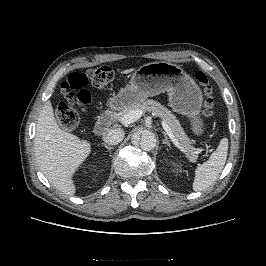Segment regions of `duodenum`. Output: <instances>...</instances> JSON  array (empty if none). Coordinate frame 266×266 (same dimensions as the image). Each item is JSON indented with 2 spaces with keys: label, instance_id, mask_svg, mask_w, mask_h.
Returning <instances> with one entry per match:
<instances>
[{
  "label": "duodenum",
  "instance_id": "410a0bca",
  "mask_svg": "<svg viewBox=\"0 0 266 266\" xmlns=\"http://www.w3.org/2000/svg\"><path fill=\"white\" fill-rule=\"evenodd\" d=\"M114 113L112 111H106L100 115L95 123L94 131L97 135L101 136L107 132L111 122L113 120Z\"/></svg>",
  "mask_w": 266,
  "mask_h": 266
}]
</instances>
